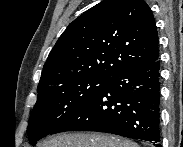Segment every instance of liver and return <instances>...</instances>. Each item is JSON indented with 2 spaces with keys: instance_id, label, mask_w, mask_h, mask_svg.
<instances>
[{
  "instance_id": "1",
  "label": "liver",
  "mask_w": 183,
  "mask_h": 147,
  "mask_svg": "<svg viewBox=\"0 0 183 147\" xmlns=\"http://www.w3.org/2000/svg\"><path fill=\"white\" fill-rule=\"evenodd\" d=\"M39 147H139L121 138L99 133H72L57 135L44 141Z\"/></svg>"
}]
</instances>
